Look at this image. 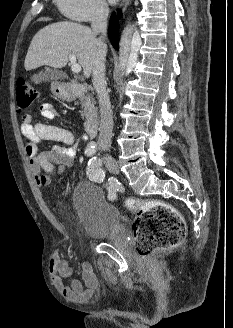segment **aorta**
<instances>
[{"mask_svg":"<svg viewBox=\"0 0 233 328\" xmlns=\"http://www.w3.org/2000/svg\"><path fill=\"white\" fill-rule=\"evenodd\" d=\"M142 41L137 30L133 31L131 25H127L120 38L119 49V66L121 71L126 74L132 72L138 61V53Z\"/></svg>","mask_w":233,"mask_h":328,"instance_id":"762f6f07","label":"aorta"}]
</instances>
